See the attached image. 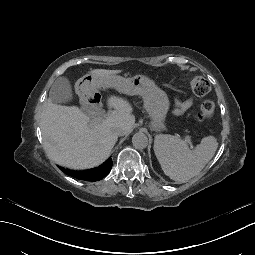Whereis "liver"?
<instances>
[{
  "instance_id": "1",
  "label": "liver",
  "mask_w": 255,
  "mask_h": 255,
  "mask_svg": "<svg viewBox=\"0 0 255 255\" xmlns=\"http://www.w3.org/2000/svg\"><path fill=\"white\" fill-rule=\"evenodd\" d=\"M122 70L92 69L87 71L100 82L115 88L122 86L118 76ZM150 94L163 103H169L165 91L153 83ZM106 106L112 113L100 123L89 121L86 114L75 106H63L50 98L41 114L40 129L44 148L56 163L72 168H91L105 161L115 144L118 135L113 131L117 124H123L131 131L135 124L132 116L134 107L125 97L108 94Z\"/></svg>"
}]
</instances>
